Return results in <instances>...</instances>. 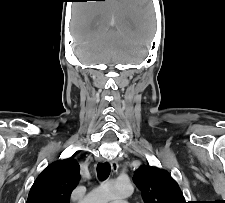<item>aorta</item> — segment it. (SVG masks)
I'll list each match as a JSON object with an SVG mask.
<instances>
[{
    "mask_svg": "<svg viewBox=\"0 0 225 203\" xmlns=\"http://www.w3.org/2000/svg\"><path fill=\"white\" fill-rule=\"evenodd\" d=\"M133 192L128 181L109 180L93 189L83 200V203H112L113 200L124 198Z\"/></svg>",
    "mask_w": 225,
    "mask_h": 203,
    "instance_id": "762f6f07",
    "label": "aorta"
}]
</instances>
